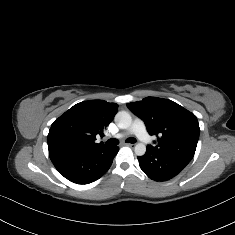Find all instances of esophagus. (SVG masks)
<instances>
[{
  "mask_svg": "<svg viewBox=\"0 0 235 235\" xmlns=\"http://www.w3.org/2000/svg\"><path fill=\"white\" fill-rule=\"evenodd\" d=\"M125 146H128L130 148H134L135 147V144H131V143H124Z\"/></svg>",
  "mask_w": 235,
  "mask_h": 235,
  "instance_id": "esophagus-1",
  "label": "esophagus"
}]
</instances>
